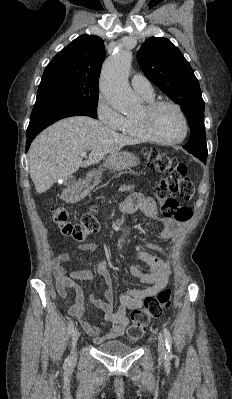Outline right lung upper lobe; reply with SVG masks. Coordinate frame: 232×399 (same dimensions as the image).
Masks as SVG:
<instances>
[{"label":"right lung upper lobe","mask_w":232,"mask_h":399,"mask_svg":"<svg viewBox=\"0 0 232 399\" xmlns=\"http://www.w3.org/2000/svg\"><path fill=\"white\" fill-rule=\"evenodd\" d=\"M105 59L103 40L95 35H81L59 52L46 67L42 80L66 79L98 86Z\"/></svg>","instance_id":"1"}]
</instances>
